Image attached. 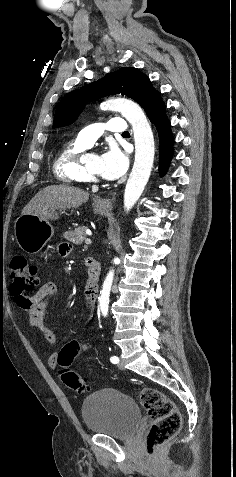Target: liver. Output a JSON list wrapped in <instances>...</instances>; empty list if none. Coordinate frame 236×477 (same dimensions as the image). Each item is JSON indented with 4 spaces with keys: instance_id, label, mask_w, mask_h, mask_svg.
<instances>
[{
    "instance_id": "obj_1",
    "label": "liver",
    "mask_w": 236,
    "mask_h": 477,
    "mask_svg": "<svg viewBox=\"0 0 236 477\" xmlns=\"http://www.w3.org/2000/svg\"><path fill=\"white\" fill-rule=\"evenodd\" d=\"M89 194L67 185H51L39 191L24 207L22 215L45 216L56 209H70L87 202Z\"/></svg>"
}]
</instances>
